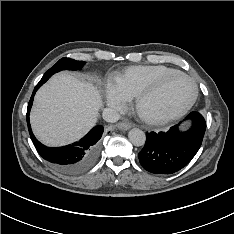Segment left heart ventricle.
<instances>
[{
	"instance_id": "1",
	"label": "left heart ventricle",
	"mask_w": 234,
	"mask_h": 234,
	"mask_svg": "<svg viewBox=\"0 0 234 234\" xmlns=\"http://www.w3.org/2000/svg\"><path fill=\"white\" fill-rule=\"evenodd\" d=\"M193 86L184 77L171 78L145 104L149 113L172 112L182 108L191 99Z\"/></svg>"
}]
</instances>
